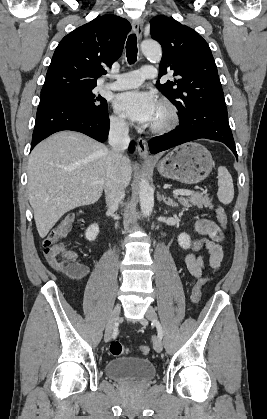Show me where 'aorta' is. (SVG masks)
<instances>
[{
    "label": "aorta",
    "instance_id": "obj_1",
    "mask_svg": "<svg viewBox=\"0 0 267 419\" xmlns=\"http://www.w3.org/2000/svg\"><path fill=\"white\" fill-rule=\"evenodd\" d=\"M141 50L148 60L159 61L161 59L162 49L155 41L143 42ZM139 199L142 213L145 216H150L154 207V190L145 178H142L139 182Z\"/></svg>",
    "mask_w": 267,
    "mask_h": 419
}]
</instances>
